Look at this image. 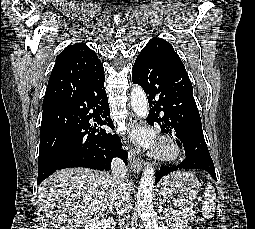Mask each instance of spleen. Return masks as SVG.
I'll return each mask as SVG.
<instances>
[{"label": "spleen", "mask_w": 255, "mask_h": 229, "mask_svg": "<svg viewBox=\"0 0 255 229\" xmlns=\"http://www.w3.org/2000/svg\"><path fill=\"white\" fill-rule=\"evenodd\" d=\"M216 208V193L211 183L206 184L204 192V202L202 206V214L205 218L210 219L214 216Z\"/></svg>", "instance_id": "obj_1"}]
</instances>
